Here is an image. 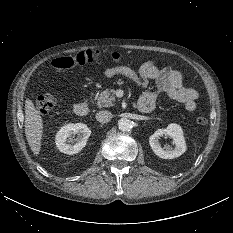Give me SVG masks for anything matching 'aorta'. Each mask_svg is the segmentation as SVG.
I'll use <instances>...</instances> for the list:
<instances>
[{
	"mask_svg": "<svg viewBox=\"0 0 233 233\" xmlns=\"http://www.w3.org/2000/svg\"><path fill=\"white\" fill-rule=\"evenodd\" d=\"M118 128L123 132L130 131L132 129V122L127 118H121L118 121Z\"/></svg>",
	"mask_w": 233,
	"mask_h": 233,
	"instance_id": "aorta-1",
	"label": "aorta"
}]
</instances>
